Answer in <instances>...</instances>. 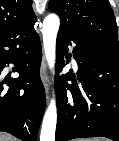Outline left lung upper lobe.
I'll list each match as a JSON object with an SVG mask.
<instances>
[{
  "instance_id": "5c2ea615",
  "label": "left lung upper lobe",
  "mask_w": 119,
  "mask_h": 141,
  "mask_svg": "<svg viewBox=\"0 0 119 141\" xmlns=\"http://www.w3.org/2000/svg\"><path fill=\"white\" fill-rule=\"evenodd\" d=\"M48 7L59 15L60 28L119 53L118 27L108 0H50Z\"/></svg>"
}]
</instances>
